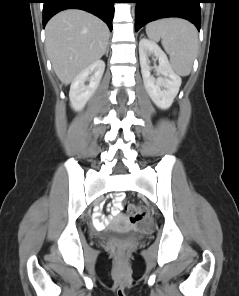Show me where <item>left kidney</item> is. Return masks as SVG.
<instances>
[{
  "instance_id": "obj_1",
  "label": "left kidney",
  "mask_w": 239,
  "mask_h": 296,
  "mask_svg": "<svg viewBox=\"0 0 239 296\" xmlns=\"http://www.w3.org/2000/svg\"><path fill=\"white\" fill-rule=\"evenodd\" d=\"M148 53H152L159 60L156 71L163 77L161 76L155 79L151 75V67L148 64ZM139 58L144 86L151 100L162 110L170 108L179 92L182 82L180 76L173 71L162 49L149 39L143 38L140 40Z\"/></svg>"
}]
</instances>
